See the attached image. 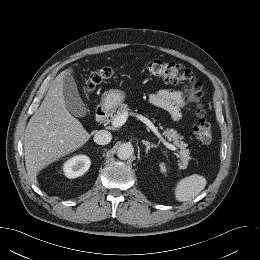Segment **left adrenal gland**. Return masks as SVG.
I'll return each instance as SVG.
<instances>
[{
  "mask_svg": "<svg viewBox=\"0 0 260 260\" xmlns=\"http://www.w3.org/2000/svg\"><path fill=\"white\" fill-rule=\"evenodd\" d=\"M142 143L146 146V150H145L146 154H148L150 148H156L157 147V145L151 144L150 142L145 141V140H142Z\"/></svg>",
  "mask_w": 260,
  "mask_h": 260,
  "instance_id": "obj_1",
  "label": "left adrenal gland"
}]
</instances>
